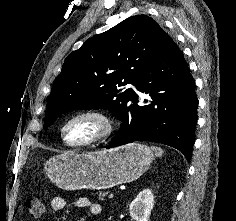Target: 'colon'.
Instances as JSON below:
<instances>
[{
    "instance_id": "1",
    "label": "colon",
    "mask_w": 236,
    "mask_h": 221,
    "mask_svg": "<svg viewBox=\"0 0 236 221\" xmlns=\"http://www.w3.org/2000/svg\"><path fill=\"white\" fill-rule=\"evenodd\" d=\"M26 207L33 219L40 218L45 212V203L38 197H31L26 201Z\"/></svg>"
}]
</instances>
